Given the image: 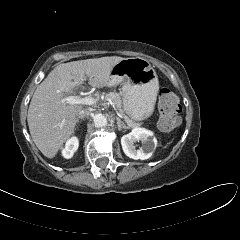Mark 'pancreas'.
Returning <instances> with one entry per match:
<instances>
[{"label": "pancreas", "mask_w": 240, "mask_h": 240, "mask_svg": "<svg viewBox=\"0 0 240 240\" xmlns=\"http://www.w3.org/2000/svg\"><path fill=\"white\" fill-rule=\"evenodd\" d=\"M105 100L106 101L110 100L112 103H114L117 106L118 110L120 112H122V99H121V95L119 93L110 92L105 95ZM128 123H129V126H137V124L135 122H133L132 120H129Z\"/></svg>", "instance_id": "cf45deb5"}]
</instances>
